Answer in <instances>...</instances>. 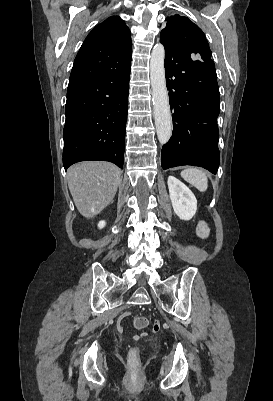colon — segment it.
I'll use <instances>...</instances> for the list:
<instances>
[{
  "label": "colon",
  "instance_id": "obj_1",
  "mask_svg": "<svg viewBox=\"0 0 273 401\" xmlns=\"http://www.w3.org/2000/svg\"><path fill=\"white\" fill-rule=\"evenodd\" d=\"M202 229L204 230V233L202 234V239L203 240H208L209 239V234L206 233V225H202ZM135 325L138 328L140 332H143L145 330V327L147 326V321L143 318V316L138 315L135 318ZM140 351H141V346L139 344H134L132 346V349H126L125 350V357L129 358V367L127 369L128 375L127 378L129 381H140L142 378L141 372V365H140Z\"/></svg>",
  "mask_w": 273,
  "mask_h": 401
}]
</instances>
